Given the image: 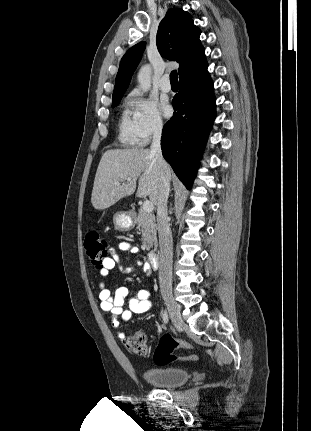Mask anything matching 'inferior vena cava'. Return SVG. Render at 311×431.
I'll return each mask as SVG.
<instances>
[{
    "instance_id": "obj_1",
    "label": "inferior vena cava",
    "mask_w": 311,
    "mask_h": 431,
    "mask_svg": "<svg viewBox=\"0 0 311 431\" xmlns=\"http://www.w3.org/2000/svg\"><path fill=\"white\" fill-rule=\"evenodd\" d=\"M162 122H156L153 132V140L150 152L153 154L160 168L159 190L157 196V225L159 233L160 261H159V283L161 295H170L172 287V257L173 241L172 231L168 223L167 202L170 192V182L163 170V156L161 150Z\"/></svg>"
}]
</instances>
